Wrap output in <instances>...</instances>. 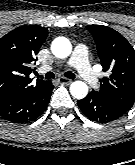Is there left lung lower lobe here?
<instances>
[{
	"label": "left lung lower lobe",
	"instance_id": "0a47b994",
	"mask_svg": "<svg viewBox=\"0 0 135 165\" xmlns=\"http://www.w3.org/2000/svg\"><path fill=\"white\" fill-rule=\"evenodd\" d=\"M77 103L81 111L93 121L110 122L125 114L95 91L90 92Z\"/></svg>",
	"mask_w": 135,
	"mask_h": 165
}]
</instances>
